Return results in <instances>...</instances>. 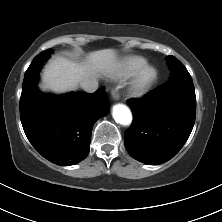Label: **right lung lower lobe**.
<instances>
[{
	"mask_svg": "<svg viewBox=\"0 0 222 222\" xmlns=\"http://www.w3.org/2000/svg\"><path fill=\"white\" fill-rule=\"evenodd\" d=\"M109 109L103 87L92 94L50 96L33 84L22 90L20 98V118L28 140L44 158L65 166L87 156L93 125Z\"/></svg>",
	"mask_w": 222,
	"mask_h": 222,
	"instance_id": "right-lung-lower-lobe-1",
	"label": "right lung lower lobe"
}]
</instances>
